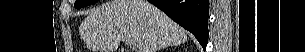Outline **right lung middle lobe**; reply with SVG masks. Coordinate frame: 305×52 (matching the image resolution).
Returning a JSON list of instances; mask_svg holds the SVG:
<instances>
[{
    "label": "right lung middle lobe",
    "instance_id": "dd1d6c3e",
    "mask_svg": "<svg viewBox=\"0 0 305 52\" xmlns=\"http://www.w3.org/2000/svg\"><path fill=\"white\" fill-rule=\"evenodd\" d=\"M99 0H76L74 7L77 9L83 8L85 6H88L90 4H93Z\"/></svg>",
    "mask_w": 305,
    "mask_h": 52
}]
</instances>
